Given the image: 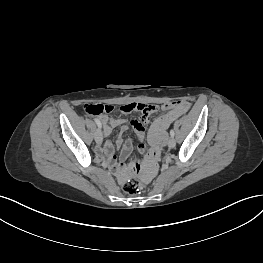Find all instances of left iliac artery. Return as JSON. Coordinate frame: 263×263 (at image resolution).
<instances>
[{
    "label": "left iliac artery",
    "mask_w": 263,
    "mask_h": 263,
    "mask_svg": "<svg viewBox=\"0 0 263 263\" xmlns=\"http://www.w3.org/2000/svg\"><path fill=\"white\" fill-rule=\"evenodd\" d=\"M170 135H171V137H174L175 133H174L173 129L170 130Z\"/></svg>",
    "instance_id": "1"
}]
</instances>
